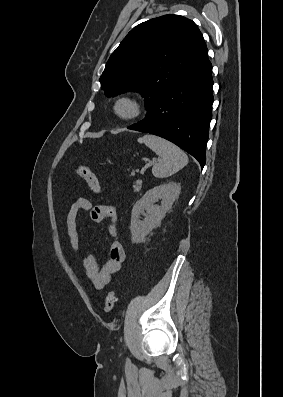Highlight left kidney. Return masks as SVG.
<instances>
[{
    "instance_id": "obj_1",
    "label": "left kidney",
    "mask_w": 283,
    "mask_h": 397,
    "mask_svg": "<svg viewBox=\"0 0 283 397\" xmlns=\"http://www.w3.org/2000/svg\"><path fill=\"white\" fill-rule=\"evenodd\" d=\"M181 187L176 183H167L148 190L133 206L131 213V239L133 243L145 241L146 236L161 224L166 213L171 210L174 201L179 197ZM161 200L160 205L155 202ZM145 215L141 221L140 215Z\"/></svg>"
}]
</instances>
